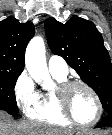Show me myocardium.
<instances>
[{
  "label": "myocardium",
  "mask_w": 112,
  "mask_h": 135,
  "mask_svg": "<svg viewBox=\"0 0 112 135\" xmlns=\"http://www.w3.org/2000/svg\"><path fill=\"white\" fill-rule=\"evenodd\" d=\"M75 87H83L85 88L94 98L97 106V113L96 116L94 117L93 120L89 122H80L75 118L73 115L71 108H70V103H69V95L72 89ZM55 97L57 100L58 107L61 111V113L74 125L79 126V127H91L95 125L101 118L102 113H103V105L101 102V99L97 92L94 90L92 86H90L88 83L84 81H66L64 83H61L57 85L55 88Z\"/></svg>",
  "instance_id": "1"
}]
</instances>
